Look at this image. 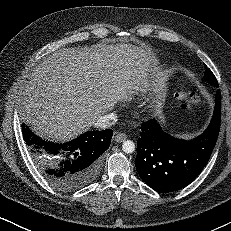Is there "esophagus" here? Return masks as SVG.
<instances>
[{"label":"esophagus","instance_id":"obj_1","mask_svg":"<svg viewBox=\"0 0 231 231\" xmlns=\"http://www.w3.org/2000/svg\"><path fill=\"white\" fill-rule=\"evenodd\" d=\"M126 138H127L126 134L122 132H119L115 135V141L118 143L125 141Z\"/></svg>","mask_w":231,"mask_h":231}]
</instances>
